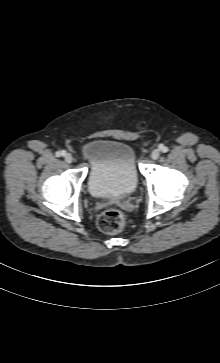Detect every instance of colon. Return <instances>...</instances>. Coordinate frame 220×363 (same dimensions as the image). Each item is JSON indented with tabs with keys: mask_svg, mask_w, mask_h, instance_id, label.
Listing matches in <instances>:
<instances>
[{
	"mask_svg": "<svg viewBox=\"0 0 220 363\" xmlns=\"http://www.w3.org/2000/svg\"><path fill=\"white\" fill-rule=\"evenodd\" d=\"M97 225L105 233L116 234L127 229L128 221L119 210L107 209L98 216Z\"/></svg>",
	"mask_w": 220,
	"mask_h": 363,
	"instance_id": "5ec220e1",
	"label": "colon"
}]
</instances>
